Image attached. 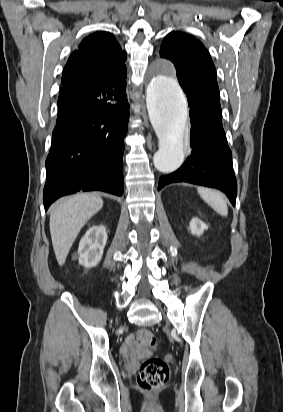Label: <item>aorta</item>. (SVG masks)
I'll use <instances>...</instances> for the list:
<instances>
[{
    "label": "aorta",
    "instance_id": "obj_1",
    "mask_svg": "<svg viewBox=\"0 0 283 412\" xmlns=\"http://www.w3.org/2000/svg\"><path fill=\"white\" fill-rule=\"evenodd\" d=\"M169 72L159 67L146 92L149 118L159 140L153 162L155 168L165 174L181 166L188 142L185 98Z\"/></svg>",
    "mask_w": 283,
    "mask_h": 412
}]
</instances>
